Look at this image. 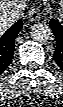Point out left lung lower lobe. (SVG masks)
<instances>
[{
	"mask_svg": "<svg viewBox=\"0 0 63 107\" xmlns=\"http://www.w3.org/2000/svg\"><path fill=\"white\" fill-rule=\"evenodd\" d=\"M50 26L56 39V49L53 56L58 66L63 70V25L52 19Z\"/></svg>",
	"mask_w": 63,
	"mask_h": 107,
	"instance_id": "obj_1",
	"label": "left lung lower lobe"
}]
</instances>
